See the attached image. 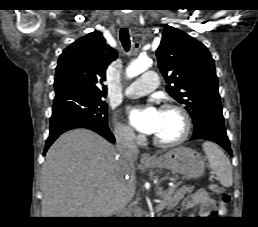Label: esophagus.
I'll list each match as a JSON object with an SVG mask.
<instances>
[{"instance_id":"1","label":"esophagus","mask_w":258,"mask_h":227,"mask_svg":"<svg viewBox=\"0 0 258 227\" xmlns=\"http://www.w3.org/2000/svg\"><path fill=\"white\" fill-rule=\"evenodd\" d=\"M129 24L130 23H128V22H124L123 23V25H125V26H129ZM140 160H141L142 163H147V162L154 161V158L149 153H143L141 155V159Z\"/></svg>"}]
</instances>
